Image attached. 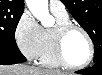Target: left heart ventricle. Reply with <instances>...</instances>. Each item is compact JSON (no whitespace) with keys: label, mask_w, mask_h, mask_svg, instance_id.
<instances>
[{"label":"left heart ventricle","mask_w":102,"mask_h":75,"mask_svg":"<svg viewBox=\"0 0 102 75\" xmlns=\"http://www.w3.org/2000/svg\"><path fill=\"white\" fill-rule=\"evenodd\" d=\"M64 53L70 62L84 60L89 55L87 39L79 30L71 31L64 40Z\"/></svg>","instance_id":"left-heart-ventricle-1"}]
</instances>
